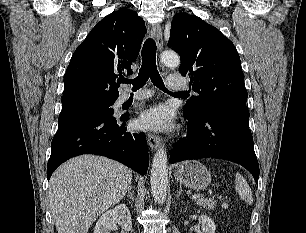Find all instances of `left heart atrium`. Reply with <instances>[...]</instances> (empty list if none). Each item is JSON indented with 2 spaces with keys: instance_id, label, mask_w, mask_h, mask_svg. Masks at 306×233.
<instances>
[{
  "instance_id": "obj_1",
  "label": "left heart atrium",
  "mask_w": 306,
  "mask_h": 233,
  "mask_svg": "<svg viewBox=\"0 0 306 233\" xmlns=\"http://www.w3.org/2000/svg\"><path fill=\"white\" fill-rule=\"evenodd\" d=\"M172 111L164 105L153 106L144 112L138 118V126L143 130L163 131L172 127Z\"/></svg>"
}]
</instances>
